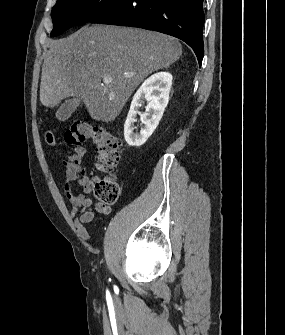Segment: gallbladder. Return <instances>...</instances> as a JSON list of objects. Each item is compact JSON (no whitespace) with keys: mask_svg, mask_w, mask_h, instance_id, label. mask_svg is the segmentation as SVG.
Returning a JSON list of instances; mask_svg holds the SVG:
<instances>
[{"mask_svg":"<svg viewBox=\"0 0 285 335\" xmlns=\"http://www.w3.org/2000/svg\"><path fill=\"white\" fill-rule=\"evenodd\" d=\"M78 106H80V100H77V98L66 100V102L60 106L59 110H57L56 118L61 120V122H65V120H68L71 114L77 110Z\"/></svg>","mask_w":285,"mask_h":335,"instance_id":"1","label":"gallbladder"}]
</instances>
